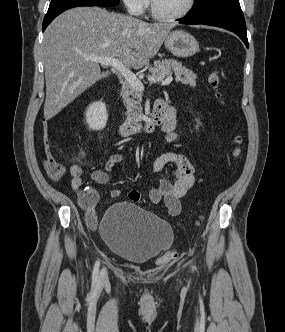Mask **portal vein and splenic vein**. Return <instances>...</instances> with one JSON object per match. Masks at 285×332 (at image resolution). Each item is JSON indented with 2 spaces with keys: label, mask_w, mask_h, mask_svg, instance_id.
<instances>
[{
  "label": "portal vein and splenic vein",
  "mask_w": 285,
  "mask_h": 332,
  "mask_svg": "<svg viewBox=\"0 0 285 332\" xmlns=\"http://www.w3.org/2000/svg\"><path fill=\"white\" fill-rule=\"evenodd\" d=\"M87 59L100 63L105 66H112L114 69L119 71L126 79V81L136 90L142 92L144 91L143 83L137 78V76L128 69L122 62H120L117 58H104V57H88ZM173 80L172 76L167 77H158L154 81L161 82V85L166 86L169 85Z\"/></svg>",
  "instance_id": "1"
}]
</instances>
